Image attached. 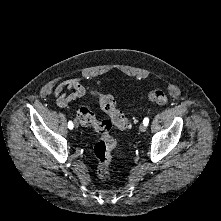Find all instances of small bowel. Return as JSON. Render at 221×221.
Listing matches in <instances>:
<instances>
[{"label": "small bowel", "instance_id": "small-bowel-1", "mask_svg": "<svg viewBox=\"0 0 221 221\" xmlns=\"http://www.w3.org/2000/svg\"><path fill=\"white\" fill-rule=\"evenodd\" d=\"M54 93L58 96L57 104L59 106H65L70 101L84 96L86 89L80 78H70L61 82L55 88Z\"/></svg>", "mask_w": 221, "mask_h": 221}]
</instances>
